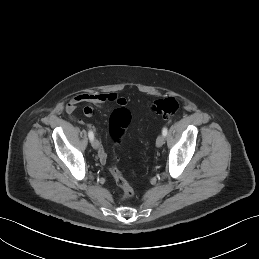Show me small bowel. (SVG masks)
<instances>
[{
  "instance_id": "c3829d8e",
  "label": "small bowel",
  "mask_w": 259,
  "mask_h": 259,
  "mask_svg": "<svg viewBox=\"0 0 259 259\" xmlns=\"http://www.w3.org/2000/svg\"><path fill=\"white\" fill-rule=\"evenodd\" d=\"M87 102L98 107L104 106L106 103H114L120 107H125L127 101L124 97L119 96L114 92L107 93H80L74 96L67 105V111L73 112L79 103ZM84 114L88 117L94 114L92 107L86 106L84 108ZM98 158L101 163H105L107 160V153L102 145H99Z\"/></svg>"
}]
</instances>
